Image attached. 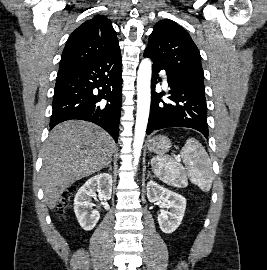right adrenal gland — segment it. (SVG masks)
<instances>
[{
    "mask_svg": "<svg viewBox=\"0 0 267 270\" xmlns=\"http://www.w3.org/2000/svg\"><path fill=\"white\" fill-rule=\"evenodd\" d=\"M112 161L106 166V167H104V168H107V167H109V169L112 171Z\"/></svg>",
    "mask_w": 267,
    "mask_h": 270,
    "instance_id": "right-adrenal-gland-1",
    "label": "right adrenal gland"
}]
</instances>
